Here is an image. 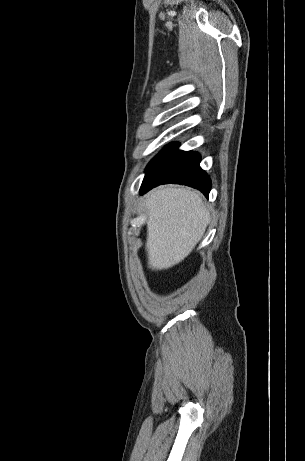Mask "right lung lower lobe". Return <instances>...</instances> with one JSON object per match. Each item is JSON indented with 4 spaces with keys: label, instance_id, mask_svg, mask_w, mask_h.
<instances>
[{
    "label": "right lung lower lobe",
    "instance_id": "right-lung-lower-lobe-1",
    "mask_svg": "<svg viewBox=\"0 0 305 461\" xmlns=\"http://www.w3.org/2000/svg\"><path fill=\"white\" fill-rule=\"evenodd\" d=\"M178 147V143L170 144L149 163L140 188L141 195L158 185L173 183L196 188L208 197L211 180L199 166L200 155L178 150Z\"/></svg>",
    "mask_w": 305,
    "mask_h": 461
}]
</instances>
